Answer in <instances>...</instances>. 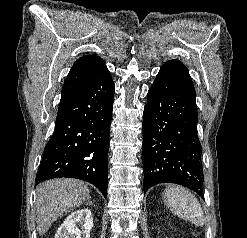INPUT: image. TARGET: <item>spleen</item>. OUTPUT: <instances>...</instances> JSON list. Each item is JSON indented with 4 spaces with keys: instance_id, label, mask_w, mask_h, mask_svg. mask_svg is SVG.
Instances as JSON below:
<instances>
[{
    "instance_id": "3e777b00",
    "label": "spleen",
    "mask_w": 247,
    "mask_h": 238,
    "mask_svg": "<svg viewBox=\"0 0 247 238\" xmlns=\"http://www.w3.org/2000/svg\"><path fill=\"white\" fill-rule=\"evenodd\" d=\"M164 202L181 219L196 226L204 224L202 207L192 193L180 186H169L164 191Z\"/></svg>"
}]
</instances>
